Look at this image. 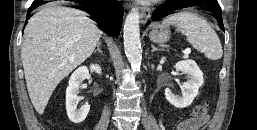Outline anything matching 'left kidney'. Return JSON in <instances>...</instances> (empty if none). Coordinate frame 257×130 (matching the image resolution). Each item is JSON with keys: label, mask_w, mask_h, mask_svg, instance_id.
<instances>
[{"label": "left kidney", "mask_w": 257, "mask_h": 130, "mask_svg": "<svg viewBox=\"0 0 257 130\" xmlns=\"http://www.w3.org/2000/svg\"><path fill=\"white\" fill-rule=\"evenodd\" d=\"M176 70L187 75V81L182 85V96L172 93L168 88L165 89L166 99L177 108H185L191 105L197 96L199 88L204 79L203 73L193 60H183L176 63Z\"/></svg>", "instance_id": "1"}]
</instances>
